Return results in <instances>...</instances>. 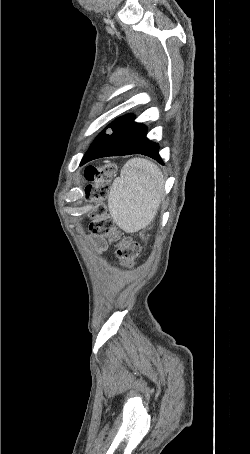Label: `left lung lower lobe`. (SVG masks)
Returning <instances> with one entry per match:
<instances>
[{
  "label": "left lung lower lobe",
  "mask_w": 250,
  "mask_h": 454,
  "mask_svg": "<svg viewBox=\"0 0 250 454\" xmlns=\"http://www.w3.org/2000/svg\"><path fill=\"white\" fill-rule=\"evenodd\" d=\"M111 131H102L84 155L83 165L93 159L106 156L143 154L164 164L158 154L159 146L146 138L147 127L135 123L132 115H126L112 122Z\"/></svg>",
  "instance_id": "obj_1"
}]
</instances>
